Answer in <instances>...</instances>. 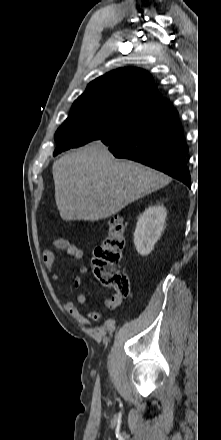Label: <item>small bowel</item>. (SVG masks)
<instances>
[{
    "mask_svg": "<svg viewBox=\"0 0 221 440\" xmlns=\"http://www.w3.org/2000/svg\"><path fill=\"white\" fill-rule=\"evenodd\" d=\"M52 245L59 250L66 252L69 256H71L76 261H81L84 257L83 251L65 239H57L52 242ZM42 260L47 270L53 273V269L55 267L56 257L52 250L44 249L42 251ZM80 276H77L73 281V286L75 288H79L82 286L83 279L82 276L88 273V268L86 266H81L79 269ZM53 278L57 279L58 276L53 274ZM77 304L72 301H67L64 303L63 308L69 312L73 317L78 319L81 323L90 325L92 321H99L104 317V313L99 311H88L86 316H83L80 313L79 306H82L86 303V295L83 293L78 294ZM122 302V297H119L115 294L107 297L103 300V305L107 308L109 312L114 311Z\"/></svg>",
    "mask_w": 221,
    "mask_h": 440,
    "instance_id": "obj_1",
    "label": "small bowel"
}]
</instances>
